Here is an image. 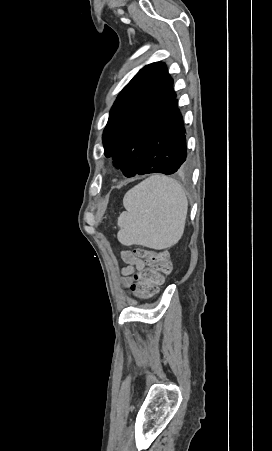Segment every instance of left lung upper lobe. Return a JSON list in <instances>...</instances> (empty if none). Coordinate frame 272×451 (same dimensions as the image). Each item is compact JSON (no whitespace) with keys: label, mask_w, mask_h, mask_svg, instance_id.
<instances>
[{"label":"left lung upper lobe","mask_w":272,"mask_h":451,"mask_svg":"<svg viewBox=\"0 0 272 451\" xmlns=\"http://www.w3.org/2000/svg\"><path fill=\"white\" fill-rule=\"evenodd\" d=\"M176 97L166 65L143 67L118 95L103 132L104 154L126 177L136 175L151 136Z\"/></svg>","instance_id":"5c2ea615"}]
</instances>
